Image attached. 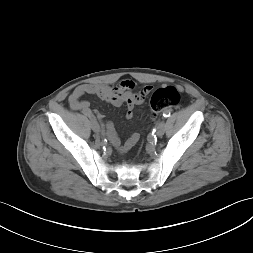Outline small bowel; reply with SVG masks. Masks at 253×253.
I'll return each mask as SVG.
<instances>
[{
	"mask_svg": "<svg viewBox=\"0 0 253 253\" xmlns=\"http://www.w3.org/2000/svg\"><path fill=\"white\" fill-rule=\"evenodd\" d=\"M134 82L131 80H123L116 86L106 84H81L77 86L69 96V106L74 111H80L83 114L91 112L90 103L82 99L85 94H93L100 99L114 105L121 106L127 104L126 118L131 119L133 117V108L135 105L143 103L145 97L152 91V86H144L137 93L133 92ZM92 113V112H91ZM100 119L103 118L101 114H98ZM110 127V124H107ZM108 137L111 143L121 152L129 150L138 140L137 133H132L128 139L121 145L119 137L109 132Z\"/></svg>",
	"mask_w": 253,
	"mask_h": 253,
	"instance_id": "1",
	"label": "small bowel"
}]
</instances>
